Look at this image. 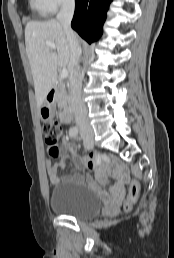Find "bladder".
Returning <instances> with one entry per match:
<instances>
[{
    "label": "bladder",
    "mask_w": 174,
    "mask_h": 258,
    "mask_svg": "<svg viewBox=\"0 0 174 258\" xmlns=\"http://www.w3.org/2000/svg\"><path fill=\"white\" fill-rule=\"evenodd\" d=\"M50 208L60 215L79 219L95 217L102 210L99 195L73 177L61 178L53 187Z\"/></svg>",
    "instance_id": "1"
}]
</instances>
